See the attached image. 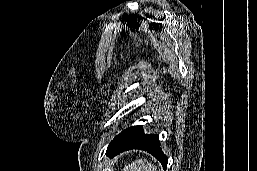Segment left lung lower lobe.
I'll return each mask as SVG.
<instances>
[{"label": "left lung lower lobe", "mask_w": 257, "mask_h": 171, "mask_svg": "<svg viewBox=\"0 0 257 171\" xmlns=\"http://www.w3.org/2000/svg\"><path fill=\"white\" fill-rule=\"evenodd\" d=\"M140 149L152 154L166 170L168 157L160 148L158 135L144 134L142 126L129 127L110 142L106 155L114 157L124 151Z\"/></svg>", "instance_id": "1"}]
</instances>
